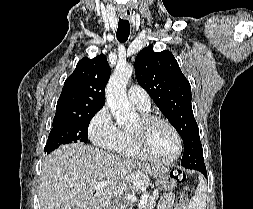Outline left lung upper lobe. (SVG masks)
<instances>
[{
    "label": "left lung upper lobe",
    "mask_w": 253,
    "mask_h": 209,
    "mask_svg": "<svg viewBox=\"0 0 253 209\" xmlns=\"http://www.w3.org/2000/svg\"><path fill=\"white\" fill-rule=\"evenodd\" d=\"M135 74L161 112L184 141L181 165L195 169L204 162L199 129L193 116L191 87L169 50L154 52L152 45L140 51L135 59Z\"/></svg>",
    "instance_id": "1"
}]
</instances>
